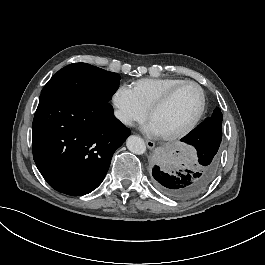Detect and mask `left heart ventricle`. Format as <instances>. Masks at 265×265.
I'll return each mask as SVG.
<instances>
[{
    "instance_id": "1",
    "label": "left heart ventricle",
    "mask_w": 265,
    "mask_h": 265,
    "mask_svg": "<svg viewBox=\"0 0 265 265\" xmlns=\"http://www.w3.org/2000/svg\"><path fill=\"white\" fill-rule=\"evenodd\" d=\"M201 96L193 85L182 87L160 110L152 114V121L160 136L177 132L187 126L198 112Z\"/></svg>"
}]
</instances>
